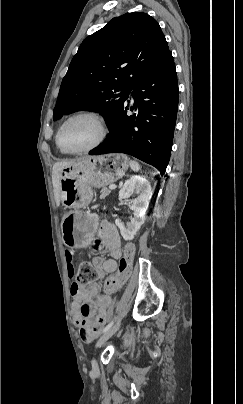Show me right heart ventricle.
Masks as SVG:
<instances>
[{"instance_id":"1","label":"right heart ventricle","mask_w":243,"mask_h":404,"mask_svg":"<svg viewBox=\"0 0 243 404\" xmlns=\"http://www.w3.org/2000/svg\"><path fill=\"white\" fill-rule=\"evenodd\" d=\"M55 143H56L57 149L59 150V152H60L61 154H64V155H69V154H71V153L67 152L63 147H60V146H59L58 141H57L56 138H55Z\"/></svg>"}]
</instances>
